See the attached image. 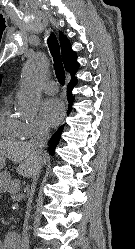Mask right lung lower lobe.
I'll list each match as a JSON object with an SVG mask.
<instances>
[{
    "label": "right lung lower lobe",
    "mask_w": 135,
    "mask_h": 249,
    "mask_svg": "<svg viewBox=\"0 0 135 249\" xmlns=\"http://www.w3.org/2000/svg\"><path fill=\"white\" fill-rule=\"evenodd\" d=\"M77 85V79H71L70 83L68 84V88H67V98H68V102H69V106H68V114L70 112V110L72 109V103L74 102V97L72 96V89L74 88V86ZM64 125L61 126L57 132L52 136L50 142V154L53 155L54 154V149L56 147V145L58 144L59 140H60V136L61 133L63 131Z\"/></svg>",
    "instance_id": "obj_1"
}]
</instances>
